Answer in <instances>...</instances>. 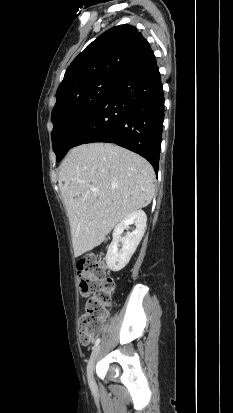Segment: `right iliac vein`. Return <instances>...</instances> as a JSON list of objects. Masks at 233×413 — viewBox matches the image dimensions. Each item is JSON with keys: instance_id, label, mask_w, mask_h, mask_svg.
Wrapping results in <instances>:
<instances>
[{"instance_id": "1", "label": "right iliac vein", "mask_w": 233, "mask_h": 413, "mask_svg": "<svg viewBox=\"0 0 233 413\" xmlns=\"http://www.w3.org/2000/svg\"><path fill=\"white\" fill-rule=\"evenodd\" d=\"M100 351V347H96L94 349V351L91 354L90 360L88 362V366H87V375H88V380L90 383L94 382V378H93V370H94V366H95V362L97 360L98 354Z\"/></svg>"}]
</instances>
